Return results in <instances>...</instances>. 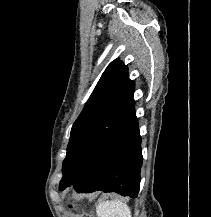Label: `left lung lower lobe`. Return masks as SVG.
I'll return each instance as SVG.
<instances>
[{
	"mask_svg": "<svg viewBox=\"0 0 211 217\" xmlns=\"http://www.w3.org/2000/svg\"><path fill=\"white\" fill-rule=\"evenodd\" d=\"M142 161L141 136L135 116L100 147L74 180L60 190L74 185L77 192L102 190L135 198L140 189Z\"/></svg>",
	"mask_w": 211,
	"mask_h": 217,
	"instance_id": "1",
	"label": "left lung lower lobe"
}]
</instances>
